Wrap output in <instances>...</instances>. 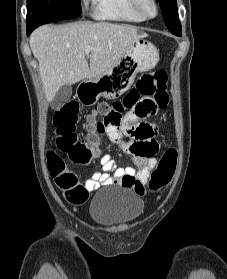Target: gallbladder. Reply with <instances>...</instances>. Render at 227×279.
<instances>
[{"label":"gallbladder","mask_w":227,"mask_h":279,"mask_svg":"<svg viewBox=\"0 0 227 279\" xmlns=\"http://www.w3.org/2000/svg\"><path fill=\"white\" fill-rule=\"evenodd\" d=\"M72 95V86L65 84L60 87L57 91L55 97L51 101V107L53 109H60L63 107L71 98Z\"/></svg>","instance_id":"1"}]
</instances>
